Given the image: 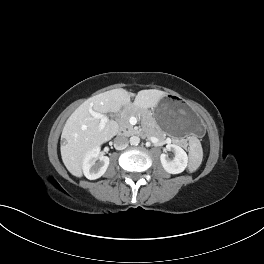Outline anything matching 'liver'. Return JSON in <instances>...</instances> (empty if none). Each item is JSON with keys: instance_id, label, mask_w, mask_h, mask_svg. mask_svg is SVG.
Listing matches in <instances>:
<instances>
[{"instance_id": "6515ba94", "label": "liver", "mask_w": 264, "mask_h": 264, "mask_svg": "<svg viewBox=\"0 0 264 264\" xmlns=\"http://www.w3.org/2000/svg\"><path fill=\"white\" fill-rule=\"evenodd\" d=\"M165 95L160 90H141L132 106L138 109L153 108ZM132 96L134 94L125 89H113L89 98L71 114L62 131L64 142L60 150L62 161L72 175L81 177L87 152L109 141L118 132L119 127L114 120H108L104 129L100 130V119L93 118L90 112H119L122 106H130Z\"/></svg>"}]
</instances>
